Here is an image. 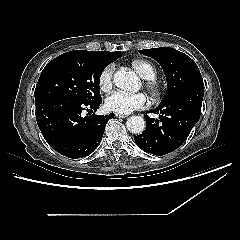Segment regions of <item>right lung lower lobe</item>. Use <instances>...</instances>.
Instances as JSON below:
<instances>
[{
	"label": "right lung lower lobe",
	"mask_w": 240,
	"mask_h": 240,
	"mask_svg": "<svg viewBox=\"0 0 240 240\" xmlns=\"http://www.w3.org/2000/svg\"><path fill=\"white\" fill-rule=\"evenodd\" d=\"M102 99L83 103L77 99L51 95L35 99L36 121L47 143L60 154L78 159L88 156L99 145L106 123L114 114L88 115L82 111L97 110Z\"/></svg>",
	"instance_id": "obj_1"
}]
</instances>
